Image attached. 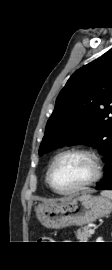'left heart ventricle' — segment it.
<instances>
[{
    "label": "left heart ventricle",
    "mask_w": 112,
    "mask_h": 270,
    "mask_svg": "<svg viewBox=\"0 0 112 270\" xmlns=\"http://www.w3.org/2000/svg\"><path fill=\"white\" fill-rule=\"evenodd\" d=\"M91 160L79 154L61 157L52 171V182L59 190H69L91 178L93 175Z\"/></svg>",
    "instance_id": "b2bd125f"
}]
</instances>
